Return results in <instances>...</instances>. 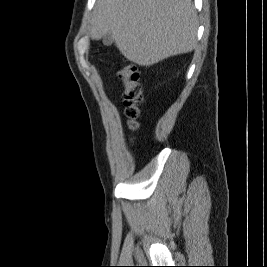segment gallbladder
Here are the masks:
<instances>
[{"instance_id":"obj_1","label":"gallbladder","mask_w":267,"mask_h":267,"mask_svg":"<svg viewBox=\"0 0 267 267\" xmlns=\"http://www.w3.org/2000/svg\"><path fill=\"white\" fill-rule=\"evenodd\" d=\"M103 44L105 46H111L113 44V38L111 34H107L103 36Z\"/></svg>"}]
</instances>
